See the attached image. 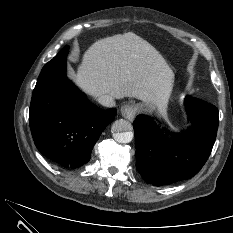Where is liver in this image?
I'll return each mask as SVG.
<instances>
[{
    "label": "liver",
    "instance_id": "liver-1",
    "mask_svg": "<svg viewBox=\"0 0 233 233\" xmlns=\"http://www.w3.org/2000/svg\"><path fill=\"white\" fill-rule=\"evenodd\" d=\"M174 73L150 43L133 32L96 41L83 55L75 83L94 97H134L164 106Z\"/></svg>",
    "mask_w": 233,
    "mask_h": 233
}]
</instances>
